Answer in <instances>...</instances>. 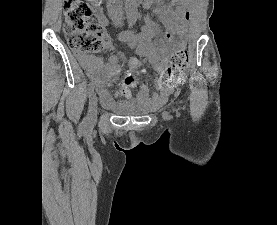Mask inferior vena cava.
<instances>
[{
    "label": "inferior vena cava",
    "instance_id": "602c4592",
    "mask_svg": "<svg viewBox=\"0 0 277 225\" xmlns=\"http://www.w3.org/2000/svg\"><path fill=\"white\" fill-rule=\"evenodd\" d=\"M122 0H108V7L113 8L115 6L121 5ZM121 23V20H120Z\"/></svg>",
    "mask_w": 277,
    "mask_h": 225
}]
</instances>
